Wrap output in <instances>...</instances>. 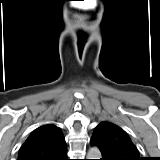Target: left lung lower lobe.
Segmentation results:
<instances>
[{"instance_id": "1", "label": "left lung lower lobe", "mask_w": 160, "mask_h": 160, "mask_svg": "<svg viewBox=\"0 0 160 160\" xmlns=\"http://www.w3.org/2000/svg\"><path fill=\"white\" fill-rule=\"evenodd\" d=\"M90 144L93 145V146H97L99 147L98 143L94 140V139H91L90 140ZM100 149V147H99ZM101 153H102V158L100 160H111L107 157V155L105 154V152H103L101 149H100Z\"/></svg>"}]
</instances>
